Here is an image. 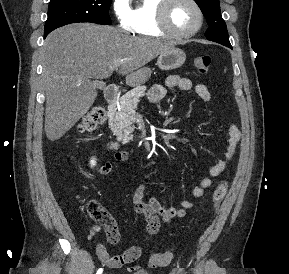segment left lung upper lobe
<instances>
[{"mask_svg":"<svg viewBox=\"0 0 289 274\" xmlns=\"http://www.w3.org/2000/svg\"><path fill=\"white\" fill-rule=\"evenodd\" d=\"M205 16L209 28L205 36L208 40L222 45H231L226 24L221 16L219 0H194Z\"/></svg>","mask_w":289,"mask_h":274,"instance_id":"obj_1","label":"left lung upper lobe"}]
</instances>
